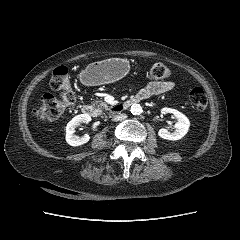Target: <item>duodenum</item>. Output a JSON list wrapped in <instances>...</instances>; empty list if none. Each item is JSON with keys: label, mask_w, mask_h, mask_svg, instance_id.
Masks as SVG:
<instances>
[{"label": "duodenum", "mask_w": 240, "mask_h": 240, "mask_svg": "<svg viewBox=\"0 0 240 240\" xmlns=\"http://www.w3.org/2000/svg\"><path fill=\"white\" fill-rule=\"evenodd\" d=\"M142 99H143V97L140 96L139 94H137V95H135V96L123 101V102L117 103L116 105H114L112 110L115 111V112H121V111L131 107L132 105L137 104ZM82 112L85 115H88V116H94L95 115V110L89 105H84L82 107Z\"/></svg>", "instance_id": "obj_1"}]
</instances>
